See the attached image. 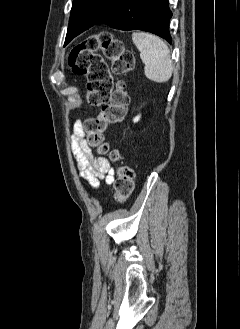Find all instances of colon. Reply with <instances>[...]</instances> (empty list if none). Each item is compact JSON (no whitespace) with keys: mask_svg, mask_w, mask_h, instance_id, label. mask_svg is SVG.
I'll use <instances>...</instances> for the list:
<instances>
[{"mask_svg":"<svg viewBox=\"0 0 240 329\" xmlns=\"http://www.w3.org/2000/svg\"><path fill=\"white\" fill-rule=\"evenodd\" d=\"M104 58L111 60V70ZM68 64L75 74L86 76L88 103L101 106L98 116L84 122L86 143L99 154L107 155L112 163H120L114 182V199L123 203L132 193L134 171L121 164L122 156L118 150L109 147L105 131L108 125L123 120L130 102L125 81L114 83L112 74L125 75L133 70L134 55L112 34L103 32L88 36L77 44L70 52Z\"/></svg>","mask_w":240,"mask_h":329,"instance_id":"5ec220e1","label":"colon"}]
</instances>
